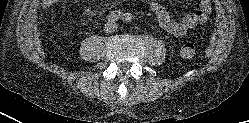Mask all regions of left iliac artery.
Here are the masks:
<instances>
[{
    "label": "left iliac artery",
    "instance_id": "left-iliac-artery-1",
    "mask_svg": "<svg viewBox=\"0 0 249 123\" xmlns=\"http://www.w3.org/2000/svg\"><path fill=\"white\" fill-rule=\"evenodd\" d=\"M122 20L128 23L132 20V15L130 13H124L122 16Z\"/></svg>",
    "mask_w": 249,
    "mask_h": 123
}]
</instances>
